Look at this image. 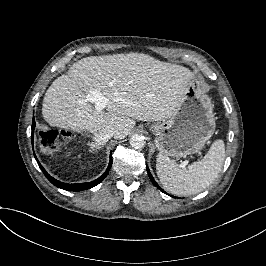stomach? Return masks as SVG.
I'll return each instance as SVG.
<instances>
[{
    "label": "stomach",
    "mask_w": 266,
    "mask_h": 266,
    "mask_svg": "<svg viewBox=\"0 0 266 266\" xmlns=\"http://www.w3.org/2000/svg\"><path fill=\"white\" fill-rule=\"evenodd\" d=\"M215 127L211 99L201 92L199 81L194 79L173 115L149 128L156 136L155 145L159 152L179 159L202 150Z\"/></svg>",
    "instance_id": "1"
}]
</instances>
